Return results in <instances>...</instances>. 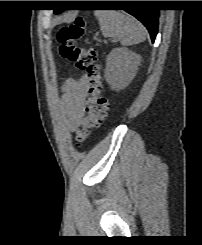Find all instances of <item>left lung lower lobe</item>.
I'll return each mask as SVG.
<instances>
[{
  "label": "left lung lower lobe",
  "instance_id": "obj_1",
  "mask_svg": "<svg viewBox=\"0 0 202 245\" xmlns=\"http://www.w3.org/2000/svg\"><path fill=\"white\" fill-rule=\"evenodd\" d=\"M131 5L137 6L138 8H131L129 10H125L129 14L133 15L140 22L144 24V26L148 29L152 42H154L157 29H158V18H159V10L157 9H148V8H139L144 3L143 1H130ZM64 10H54V13L58 14Z\"/></svg>",
  "mask_w": 202,
  "mask_h": 245
}]
</instances>
